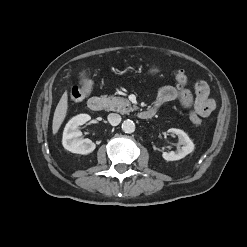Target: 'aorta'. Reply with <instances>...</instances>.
Segmentation results:
<instances>
[{"instance_id": "aorta-1", "label": "aorta", "mask_w": 247, "mask_h": 247, "mask_svg": "<svg viewBox=\"0 0 247 247\" xmlns=\"http://www.w3.org/2000/svg\"><path fill=\"white\" fill-rule=\"evenodd\" d=\"M122 130L125 133H133L135 131V123L132 120H125L122 123Z\"/></svg>"}]
</instances>
